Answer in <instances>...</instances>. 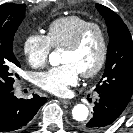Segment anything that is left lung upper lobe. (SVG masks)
Here are the masks:
<instances>
[{
	"label": "left lung upper lobe",
	"mask_w": 133,
	"mask_h": 133,
	"mask_svg": "<svg viewBox=\"0 0 133 133\" xmlns=\"http://www.w3.org/2000/svg\"><path fill=\"white\" fill-rule=\"evenodd\" d=\"M108 26L110 41L105 71L95 88L130 101L133 93V41L122 19L109 8L96 4Z\"/></svg>",
	"instance_id": "left-lung-upper-lobe-1"
}]
</instances>
